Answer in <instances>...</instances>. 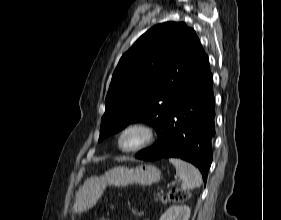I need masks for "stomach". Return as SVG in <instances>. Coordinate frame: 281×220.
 I'll list each match as a JSON object with an SVG mask.
<instances>
[{"mask_svg": "<svg viewBox=\"0 0 281 220\" xmlns=\"http://www.w3.org/2000/svg\"><path fill=\"white\" fill-rule=\"evenodd\" d=\"M161 178L160 170L154 165H139L136 168L115 167L101 176L88 178L78 190L73 205L74 213H82L93 207L105 188L125 187L131 184L152 185Z\"/></svg>", "mask_w": 281, "mask_h": 220, "instance_id": "stomach-1", "label": "stomach"}]
</instances>
